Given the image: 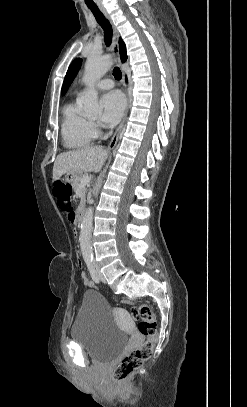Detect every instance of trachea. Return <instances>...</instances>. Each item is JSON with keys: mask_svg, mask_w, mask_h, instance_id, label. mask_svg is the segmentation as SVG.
I'll return each mask as SVG.
<instances>
[{"mask_svg": "<svg viewBox=\"0 0 247 407\" xmlns=\"http://www.w3.org/2000/svg\"><path fill=\"white\" fill-rule=\"evenodd\" d=\"M88 8L93 13L96 21L104 30V40L105 44L109 47L112 40V26L110 22L105 18V16L100 12L97 6H88ZM113 76L116 80H120L122 78V73L118 67L113 69Z\"/></svg>", "mask_w": 247, "mask_h": 407, "instance_id": "1", "label": "trachea"}]
</instances>
